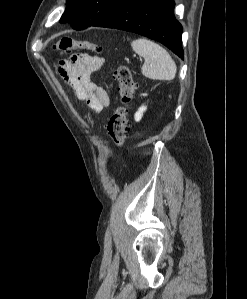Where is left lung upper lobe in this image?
<instances>
[{"label":"left lung upper lobe","instance_id":"5c2ea615","mask_svg":"<svg viewBox=\"0 0 247 299\" xmlns=\"http://www.w3.org/2000/svg\"><path fill=\"white\" fill-rule=\"evenodd\" d=\"M122 0H67L61 23L70 22L76 30L92 26L94 22L114 9Z\"/></svg>","mask_w":247,"mask_h":299}]
</instances>
